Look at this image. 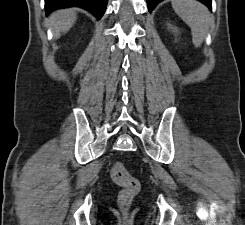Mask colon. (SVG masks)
Returning a JSON list of instances; mask_svg holds the SVG:
<instances>
[{
  "mask_svg": "<svg viewBox=\"0 0 245 225\" xmlns=\"http://www.w3.org/2000/svg\"><path fill=\"white\" fill-rule=\"evenodd\" d=\"M110 175L112 180L121 187L118 194V206L122 211H127L140 191V182L128 172L121 161L112 165Z\"/></svg>",
  "mask_w": 245,
  "mask_h": 225,
  "instance_id": "colon-1",
  "label": "colon"
}]
</instances>
